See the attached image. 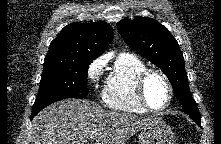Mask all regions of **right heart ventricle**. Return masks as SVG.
<instances>
[{
    "mask_svg": "<svg viewBox=\"0 0 221 144\" xmlns=\"http://www.w3.org/2000/svg\"><path fill=\"white\" fill-rule=\"evenodd\" d=\"M146 68L145 63L132 54L122 53L118 55L113 62L104 86V103L114 110L144 113L146 110L136 98L135 79Z\"/></svg>",
    "mask_w": 221,
    "mask_h": 144,
    "instance_id": "right-heart-ventricle-1",
    "label": "right heart ventricle"
}]
</instances>
